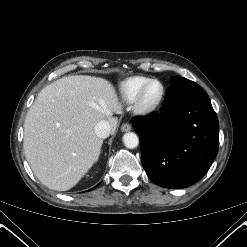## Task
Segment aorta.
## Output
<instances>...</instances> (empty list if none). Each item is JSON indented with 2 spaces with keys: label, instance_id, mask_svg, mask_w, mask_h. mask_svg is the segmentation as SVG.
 Here are the masks:
<instances>
[{
  "label": "aorta",
  "instance_id": "1",
  "mask_svg": "<svg viewBox=\"0 0 247 247\" xmlns=\"http://www.w3.org/2000/svg\"><path fill=\"white\" fill-rule=\"evenodd\" d=\"M123 142L127 148L133 149V148H136L138 146L139 138L135 133L128 132V133L124 134Z\"/></svg>",
  "mask_w": 247,
  "mask_h": 247
}]
</instances>
